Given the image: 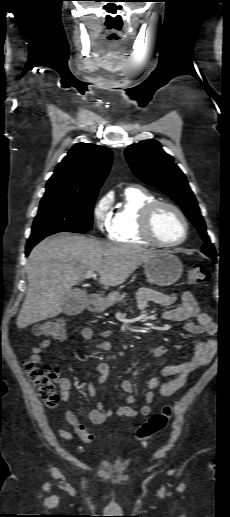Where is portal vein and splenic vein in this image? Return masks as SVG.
Returning a JSON list of instances; mask_svg holds the SVG:
<instances>
[{
  "label": "portal vein and splenic vein",
  "mask_w": 230,
  "mask_h": 517,
  "mask_svg": "<svg viewBox=\"0 0 230 517\" xmlns=\"http://www.w3.org/2000/svg\"><path fill=\"white\" fill-rule=\"evenodd\" d=\"M93 276H95L94 271L89 270V271H87V272H86V274H85V276H84V277H85L86 279H90V278H91V277H93Z\"/></svg>",
  "instance_id": "portal-vein-and-splenic-vein-1"
}]
</instances>
